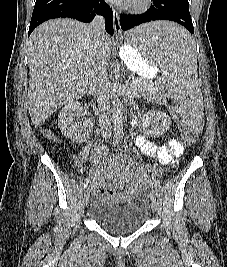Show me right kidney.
<instances>
[{
  "label": "right kidney",
  "instance_id": "ca27d5eb",
  "mask_svg": "<svg viewBox=\"0 0 227 267\" xmlns=\"http://www.w3.org/2000/svg\"><path fill=\"white\" fill-rule=\"evenodd\" d=\"M82 103L70 102L65 105L58 115V125L61 132L71 141L76 143L86 142L92 133L93 123L90 119L80 122L85 116Z\"/></svg>",
  "mask_w": 227,
  "mask_h": 267
}]
</instances>
